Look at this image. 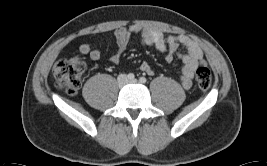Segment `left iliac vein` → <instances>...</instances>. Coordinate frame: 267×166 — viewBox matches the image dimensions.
Segmentation results:
<instances>
[{
    "label": "left iliac vein",
    "instance_id": "obj_1",
    "mask_svg": "<svg viewBox=\"0 0 267 166\" xmlns=\"http://www.w3.org/2000/svg\"><path fill=\"white\" fill-rule=\"evenodd\" d=\"M128 82L131 84H137L138 83L137 79L129 80Z\"/></svg>",
    "mask_w": 267,
    "mask_h": 166
}]
</instances>
